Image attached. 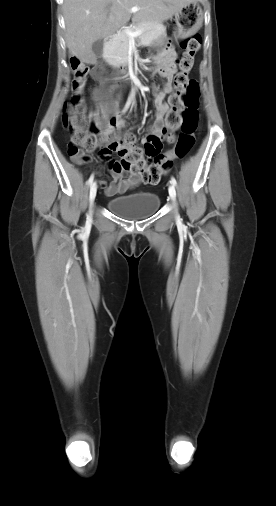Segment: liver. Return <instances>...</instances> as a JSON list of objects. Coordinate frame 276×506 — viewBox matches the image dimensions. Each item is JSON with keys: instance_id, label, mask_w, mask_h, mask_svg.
<instances>
[{"instance_id": "6515ba94", "label": "liver", "mask_w": 276, "mask_h": 506, "mask_svg": "<svg viewBox=\"0 0 276 506\" xmlns=\"http://www.w3.org/2000/svg\"><path fill=\"white\" fill-rule=\"evenodd\" d=\"M198 0H65L66 44L69 53L80 61L94 64L95 41L113 35L130 20L136 23H158L172 18L186 4Z\"/></svg>"}]
</instances>
